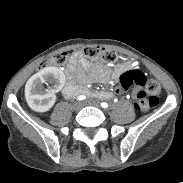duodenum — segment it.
Segmentation results:
<instances>
[{"mask_svg": "<svg viewBox=\"0 0 183 183\" xmlns=\"http://www.w3.org/2000/svg\"><path fill=\"white\" fill-rule=\"evenodd\" d=\"M80 92V88L73 83H68L64 88V94L72 97Z\"/></svg>", "mask_w": 183, "mask_h": 183, "instance_id": "obj_1", "label": "duodenum"}]
</instances>
